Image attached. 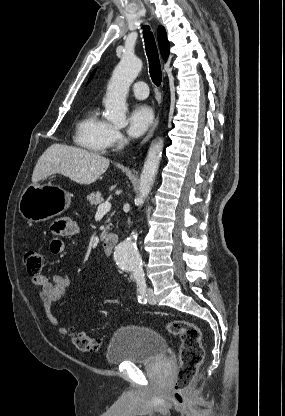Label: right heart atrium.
Wrapping results in <instances>:
<instances>
[{
	"label": "right heart atrium",
	"instance_id": "right-heart-atrium-1",
	"mask_svg": "<svg viewBox=\"0 0 285 416\" xmlns=\"http://www.w3.org/2000/svg\"><path fill=\"white\" fill-rule=\"evenodd\" d=\"M124 141V137L120 129L116 126H110L106 137V148L115 149L120 146Z\"/></svg>",
	"mask_w": 285,
	"mask_h": 416
}]
</instances>
